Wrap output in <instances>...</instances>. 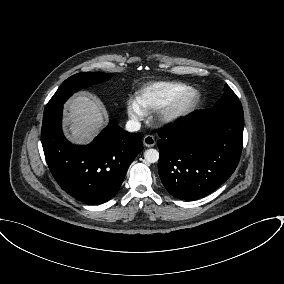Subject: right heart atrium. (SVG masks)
<instances>
[{"label": "right heart atrium", "mask_w": 284, "mask_h": 284, "mask_svg": "<svg viewBox=\"0 0 284 284\" xmlns=\"http://www.w3.org/2000/svg\"><path fill=\"white\" fill-rule=\"evenodd\" d=\"M126 112L129 119L134 123L139 122L145 116V111L141 108L136 99H129L127 101Z\"/></svg>", "instance_id": "right-heart-atrium-1"}]
</instances>
